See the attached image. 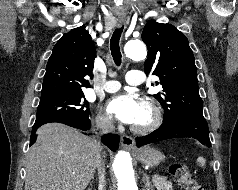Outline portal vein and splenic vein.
<instances>
[{"mask_svg": "<svg viewBox=\"0 0 238 190\" xmlns=\"http://www.w3.org/2000/svg\"><path fill=\"white\" fill-rule=\"evenodd\" d=\"M156 177H157V176H156V175H154L152 178H153V179H155Z\"/></svg>", "mask_w": 238, "mask_h": 190, "instance_id": "portal-vein-and-splenic-vein-1", "label": "portal vein and splenic vein"}]
</instances>
